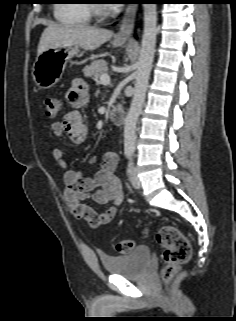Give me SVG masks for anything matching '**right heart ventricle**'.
<instances>
[{
    "mask_svg": "<svg viewBox=\"0 0 236 321\" xmlns=\"http://www.w3.org/2000/svg\"><path fill=\"white\" fill-rule=\"evenodd\" d=\"M88 0H62L54 8L55 19L67 26L88 25L91 11Z\"/></svg>",
    "mask_w": 236,
    "mask_h": 321,
    "instance_id": "obj_1",
    "label": "right heart ventricle"
}]
</instances>
